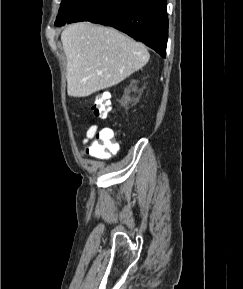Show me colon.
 Masks as SVG:
<instances>
[{"instance_id": "colon-1", "label": "colon", "mask_w": 243, "mask_h": 289, "mask_svg": "<svg viewBox=\"0 0 243 289\" xmlns=\"http://www.w3.org/2000/svg\"><path fill=\"white\" fill-rule=\"evenodd\" d=\"M94 114L102 119L106 118L111 110L109 94L100 92L96 95L92 106ZM118 144L114 132L110 128H104L97 133L96 138L87 146L86 153L90 156L107 159L116 152Z\"/></svg>"}]
</instances>
